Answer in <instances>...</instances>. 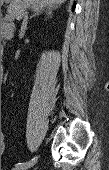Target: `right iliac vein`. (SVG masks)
I'll list each match as a JSON object with an SVG mask.
<instances>
[{"mask_svg":"<svg viewBox=\"0 0 109 170\" xmlns=\"http://www.w3.org/2000/svg\"><path fill=\"white\" fill-rule=\"evenodd\" d=\"M30 167H26V166H19V167H15L13 170H27Z\"/></svg>","mask_w":109,"mask_h":170,"instance_id":"63e3f726","label":"right iliac vein"}]
</instances>
